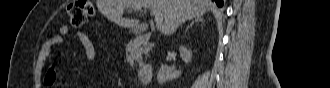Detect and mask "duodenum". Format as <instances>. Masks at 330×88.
I'll use <instances>...</instances> for the list:
<instances>
[{"instance_id": "obj_1", "label": "duodenum", "mask_w": 330, "mask_h": 88, "mask_svg": "<svg viewBox=\"0 0 330 88\" xmlns=\"http://www.w3.org/2000/svg\"><path fill=\"white\" fill-rule=\"evenodd\" d=\"M147 40H148V31L147 30L143 31L142 29H139L136 31L135 38L132 41L130 47L131 48L137 47ZM151 71H152V66L146 65L142 70V76H146Z\"/></svg>"}]
</instances>
